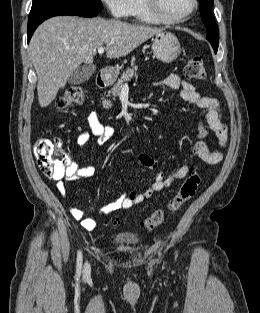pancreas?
Segmentation results:
<instances>
[{"mask_svg": "<svg viewBox=\"0 0 260 313\" xmlns=\"http://www.w3.org/2000/svg\"><path fill=\"white\" fill-rule=\"evenodd\" d=\"M138 70L137 66H134L132 68H128L121 77L117 80V82L114 84V86L111 88V90L108 92V96L112 95L113 99L118 96L125 84L128 80L132 79L134 76H136V71ZM102 105L104 108H109L112 106L111 100L103 99Z\"/></svg>", "mask_w": 260, "mask_h": 313, "instance_id": "obj_1", "label": "pancreas"}]
</instances>
